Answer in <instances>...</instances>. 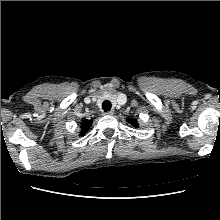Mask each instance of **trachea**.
I'll use <instances>...</instances> for the list:
<instances>
[{
    "label": "trachea",
    "mask_w": 220,
    "mask_h": 220,
    "mask_svg": "<svg viewBox=\"0 0 220 220\" xmlns=\"http://www.w3.org/2000/svg\"><path fill=\"white\" fill-rule=\"evenodd\" d=\"M112 107V104L109 100H106L102 103V108L105 112L109 111Z\"/></svg>",
    "instance_id": "3493384b"
}]
</instances>
